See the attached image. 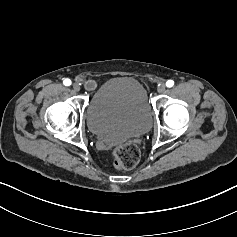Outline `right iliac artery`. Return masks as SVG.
Here are the masks:
<instances>
[{
	"instance_id": "obj_1",
	"label": "right iliac artery",
	"mask_w": 237,
	"mask_h": 237,
	"mask_svg": "<svg viewBox=\"0 0 237 237\" xmlns=\"http://www.w3.org/2000/svg\"><path fill=\"white\" fill-rule=\"evenodd\" d=\"M63 84H64L65 86H70V85H71V80L68 79V78H66V79H64Z\"/></svg>"
}]
</instances>
